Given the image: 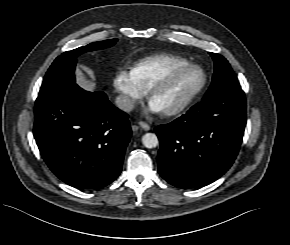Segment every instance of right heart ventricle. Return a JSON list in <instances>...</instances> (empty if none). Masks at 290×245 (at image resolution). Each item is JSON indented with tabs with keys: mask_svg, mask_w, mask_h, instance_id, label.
<instances>
[{
	"mask_svg": "<svg viewBox=\"0 0 290 245\" xmlns=\"http://www.w3.org/2000/svg\"><path fill=\"white\" fill-rule=\"evenodd\" d=\"M189 64V61L178 55L161 54L148 57L132 67L131 72L138 85L145 91L151 83L160 75Z\"/></svg>",
	"mask_w": 290,
	"mask_h": 245,
	"instance_id": "e07e8e85",
	"label": "right heart ventricle"
}]
</instances>
